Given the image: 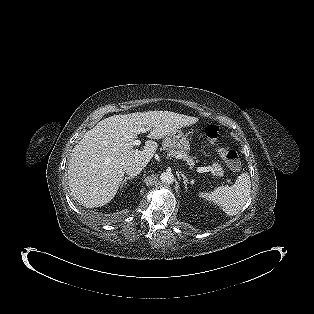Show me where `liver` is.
<instances>
[{
	"instance_id": "liver-1",
	"label": "liver",
	"mask_w": 314,
	"mask_h": 314,
	"mask_svg": "<svg viewBox=\"0 0 314 314\" xmlns=\"http://www.w3.org/2000/svg\"><path fill=\"white\" fill-rule=\"evenodd\" d=\"M198 122V118L171 111H148L114 115L87 131L73 148L68 163V182L75 199L86 208L100 207L116 195L125 169L132 163L147 165L157 143L148 140L143 150L133 141L141 128L159 140Z\"/></svg>"
}]
</instances>
